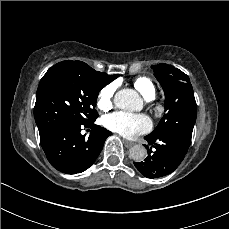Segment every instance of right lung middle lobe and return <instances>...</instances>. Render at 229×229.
Here are the masks:
<instances>
[{
    "label": "right lung middle lobe",
    "instance_id": "dd1d6c3e",
    "mask_svg": "<svg viewBox=\"0 0 229 229\" xmlns=\"http://www.w3.org/2000/svg\"><path fill=\"white\" fill-rule=\"evenodd\" d=\"M100 90L75 66H52L42 77L36 94L34 118L40 141L62 124L93 123L98 117L95 106Z\"/></svg>",
    "mask_w": 229,
    "mask_h": 229
}]
</instances>
